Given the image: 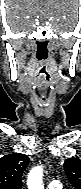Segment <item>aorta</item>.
Segmentation results:
<instances>
[{
	"instance_id": "obj_1",
	"label": "aorta",
	"mask_w": 81,
	"mask_h": 189,
	"mask_svg": "<svg viewBox=\"0 0 81 189\" xmlns=\"http://www.w3.org/2000/svg\"><path fill=\"white\" fill-rule=\"evenodd\" d=\"M43 168L41 166L34 167L27 178L28 189H44L43 183Z\"/></svg>"
}]
</instances>
